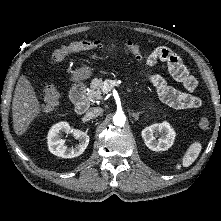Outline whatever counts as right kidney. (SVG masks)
<instances>
[{"mask_svg":"<svg viewBox=\"0 0 221 221\" xmlns=\"http://www.w3.org/2000/svg\"><path fill=\"white\" fill-rule=\"evenodd\" d=\"M62 133H72L79 141L75 147L68 148L65 140L61 138ZM49 151L62 158H74L81 155L89 144V136L81 130H73L67 122H59L51 127L47 136Z\"/></svg>","mask_w":221,"mask_h":221,"instance_id":"obj_1","label":"right kidney"}]
</instances>
